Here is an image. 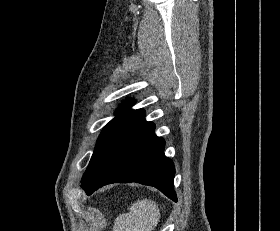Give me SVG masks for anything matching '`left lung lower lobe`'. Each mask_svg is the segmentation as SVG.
<instances>
[{"label":"left lung lower lobe","mask_w":280,"mask_h":231,"mask_svg":"<svg viewBox=\"0 0 280 231\" xmlns=\"http://www.w3.org/2000/svg\"><path fill=\"white\" fill-rule=\"evenodd\" d=\"M144 117L112 136L87 167L81 187L88 195L110 183L154 186L177 202L173 162L164 156L165 142Z\"/></svg>","instance_id":"obj_1"}]
</instances>
